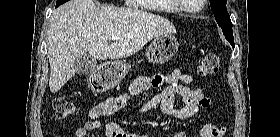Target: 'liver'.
Here are the masks:
<instances>
[{
    "mask_svg": "<svg viewBox=\"0 0 280 137\" xmlns=\"http://www.w3.org/2000/svg\"><path fill=\"white\" fill-rule=\"evenodd\" d=\"M175 32L167 19L139 9L70 0L54 10L49 20L50 91L58 92L74 77V61L84 53L98 60L122 59L153 38ZM113 35L119 39L111 43Z\"/></svg>",
    "mask_w": 280,
    "mask_h": 137,
    "instance_id": "6515ba94",
    "label": "liver"
}]
</instances>
